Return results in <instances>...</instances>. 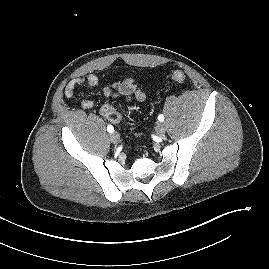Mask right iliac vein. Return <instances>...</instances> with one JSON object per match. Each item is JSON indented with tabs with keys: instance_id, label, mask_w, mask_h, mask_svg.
I'll return each instance as SVG.
<instances>
[{
	"instance_id": "63e3f726",
	"label": "right iliac vein",
	"mask_w": 269,
	"mask_h": 269,
	"mask_svg": "<svg viewBox=\"0 0 269 269\" xmlns=\"http://www.w3.org/2000/svg\"><path fill=\"white\" fill-rule=\"evenodd\" d=\"M109 138H110V141L114 144H117L120 141V136L117 132H112Z\"/></svg>"
}]
</instances>
